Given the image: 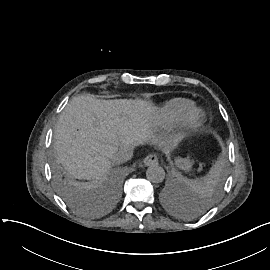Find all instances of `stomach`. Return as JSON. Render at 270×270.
Segmentation results:
<instances>
[{
	"instance_id": "stomach-1",
	"label": "stomach",
	"mask_w": 270,
	"mask_h": 270,
	"mask_svg": "<svg viewBox=\"0 0 270 270\" xmlns=\"http://www.w3.org/2000/svg\"><path fill=\"white\" fill-rule=\"evenodd\" d=\"M178 164L181 166L182 169L188 170L192 164V160H190L188 157L180 158L178 160Z\"/></svg>"
}]
</instances>
